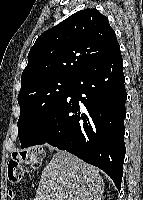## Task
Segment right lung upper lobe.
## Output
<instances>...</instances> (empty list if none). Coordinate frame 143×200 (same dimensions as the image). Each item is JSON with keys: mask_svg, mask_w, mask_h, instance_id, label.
<instances>
[{"mask_svg": "<svg viewBox=\"0 0 143 200\" xmlns=\"http://www.w3.org/2000/svg\"><path fill=\"white\" fill-rule=\"evenodd\" d=\"M118 47L106 16L93 8L78 11L37 38L21 76V89L55 77L73 79Z\"/></svg>", "mask_w": 143, "mask_h": 200, "instance_id": "cb5924a9", "label": "right lung upper lobe"}]
</instances>
